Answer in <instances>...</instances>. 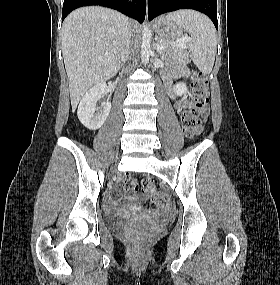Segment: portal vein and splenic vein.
I'll return each mask as SVG.
<instances>
[{
	"label": "portal vein and splenic vein",
	"mask_w": 280,
	"mask_h": 285,
	"mask_svg": "<svg viewBox=\"0 0 280 285\" xmlns=\"http://www.w3.org/2000/svg\"><path fill=\"white\" fill-rule=\"evenodd\" d=\"M189 40H190L189 37H183L182 39H179V40H177L175 43H173V45H174V46H177V47H184L185 44H186ZM163 49H164V47L161 46V45H158V46L156 47V50H157L158 52L162 51ZM107 56H108V54H107Z\"/></svg>",
	"instance_id": "1"
}]
</instances>
